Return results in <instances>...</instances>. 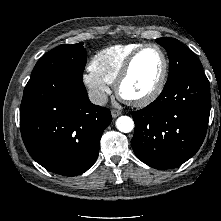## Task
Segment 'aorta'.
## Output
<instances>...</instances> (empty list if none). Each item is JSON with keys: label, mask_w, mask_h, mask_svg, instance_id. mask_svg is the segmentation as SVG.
I'll list each match as a JSON object with an SVG mask.
<instances>
[{"label": "aorta", "mask_w": 221, "mask_h": 221, "mask_svg": "<svg viewBox=\"0 0 221 221\" xmlns=\"http://www.w3.org/2000/svg\"><path fill=\"white\" fill-rule=\"evenodd\" d=\"M116 127L120 132L129 133L134 128V121L128 116H121L116 120Z\"/></svg>", "instance_id": "762f6f07"}]
</instances>
